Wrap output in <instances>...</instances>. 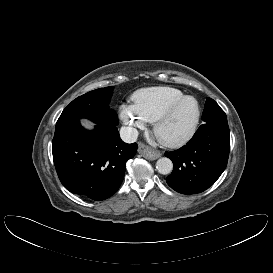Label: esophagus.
Segmentation results:
<instances>
[{
	"mask_svg": "<svg viewBox=\"0 0 273 273\" xmlns=\"http://www.w3.org/2000/svg\"><path fill=\"white\" fill-rule=\"evenodd\" d=\"M138 152L143 157L149 160H156L157 158L161 157V153L157 150L152 149L151 147L145 145L144 143H139L138 145Z\"/></svg>",
	"mask_w": 273,
	"mask_h": 273,
	"instance_id": "1",
	"label": "esophagus"
}]
</instances>
